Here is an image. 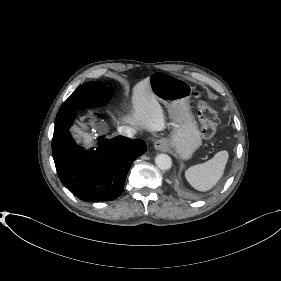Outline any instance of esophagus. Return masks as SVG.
<instances>
[{
  "label": "esophagus",
  "mask_w": 281,
  "mask_h": 281,
  "mask_svg": "<svg viewBox=\"0 0 281 281\" xmlns=\"http://www.w3.org/2000/svg\"><path fill=\"white\" fill-rule=\"evenodd\" d=\"M154 148L157 151H166L168 148L167 141L165 139H159L154 142Z\"/></svg>",
  "instance_id": "esophagus-1"
}]
</instances>
